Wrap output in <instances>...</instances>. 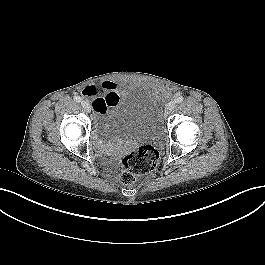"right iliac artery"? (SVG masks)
Returning <instances> with one entry per match:
<instances>
[{
  "label": "right iliac artery",
  "instance_id": "1",
  "mask_svg": "<svg viewBox=\"0 0 265 265\" xmlns=\"http://www.w3.org/2000/svg\"><path fill=\"white\" fill-rule=\"evenodd\" d=\"M74 100H75L77 103H79V102H81L82 98H81L80 96H75V97H74Z\"/></svg>",
  "mask_w": 265,
  "mask_h": 265
}]
</instances>
